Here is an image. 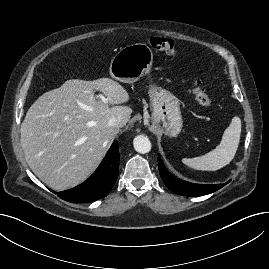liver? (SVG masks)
<instances>
[{
    "label": "liver",
    "instance_id": "obj_1",
    "mask_svg": "<svg viewBox=\"0 0 269 269\" xmlns=\"http://www.w3.org/2000/svg\"><path fill=\"white\" fill-rule=\"evenodd\" d=\"M95 91L107 99L98 101ZM123 86L110 78L67 80L41 95L21 124V146L34 174L56 191L86 180L132 113ZM112 105V106H110ZM112 117L121 125L108 126Z\"/></svg>",
    "mask_w": 269,
    "mask_h": 269
}]
</instances>
